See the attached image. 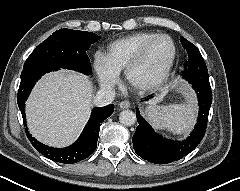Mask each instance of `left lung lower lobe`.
Masks as SVG:
<instances>
[{
  "label": "left lung lower lobe",
  "instance_id": "left-lung-lower-lobe-1",
  "mask_svg": "<svg viewBox=\"0 0 240 191\" xmlns=\"http://www.w3.org/2000/svg\"><path fill=\"white\" fill-rule=\"evenodd\" d=\"M183 77L189 80L197 93L199 102L197 124L186 140L171 141L155 133L137 110L139 125L133 136V148L139 156L149 162L166 164L181 159L198 146L206 132L209 109L212 104L208 73H189L185 69Z\"/></svg>",
  "mask_w": 240,
  "mask_h": 191
}]
</instances>
